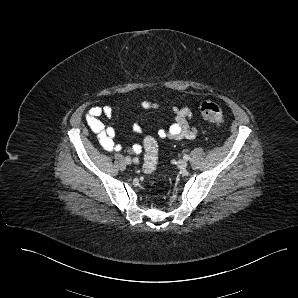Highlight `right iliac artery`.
<instances>
[{"instance_id":"right-iliac-artery-1","label":"right iliac artery","mask_w":298,"mask_h":298,"mask_svg":"<svg viewBox=\"0 0 298 298\" xmlns=\"http://www.w3.org/2000/svg\"><path fill=\"white\" fill-rule=\"evenodd\" d=\"M133 162L134 163H138L139 162V159L137 157L133 158Z\"/></svg>"}]
</instances>
